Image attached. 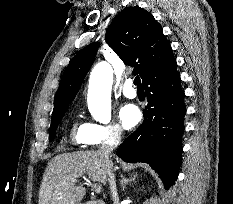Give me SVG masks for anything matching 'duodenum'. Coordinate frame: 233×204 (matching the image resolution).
Instances as JSON below:
<instances>
[{"label":"duodenum","mask_w":233,"mask_h":204,"mask_svg":"<svg viewBox=\"0 0 233 204\" xmlns=\"http://www.w3.org/2000/svg\"><path fill=\"white\" fill-rule=\"evenodd\" d=\"M83 204H105V203L102 202V201L97 200V201H89V202H86V203H83Z\"/></svg>","instance_id":"1"}]
</instances>
